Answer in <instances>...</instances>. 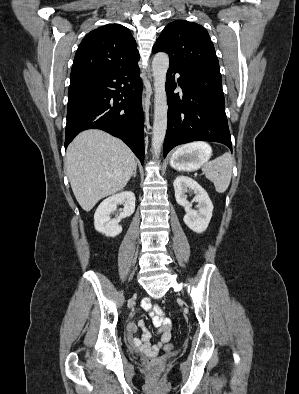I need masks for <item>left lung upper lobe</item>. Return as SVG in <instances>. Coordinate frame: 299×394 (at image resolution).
Returning <instances> with one entry per match:
<instances>
[{"mask_svg": "<svg viewBox=\"0 0 299 394\" xmlns=\"http://www.w3.org/2000/svg\"><path fill=\"white\" fill-rule=\"evenodd\" d=\"M154 53L169 54L170 66L179 70L219 71V62L207 30L199 24L178 20L169 23L157 39Z\"/></svg>", "mask_w": 299, "mask_h": 394, "instance_id": "left-lung-upper-lobe-1", "label": "left lung upper lobe"}]
</instances>
